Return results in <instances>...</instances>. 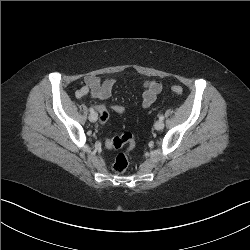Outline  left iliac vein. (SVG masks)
<instances>
[{
  "label": "left iliac vein",
  "mask_w": 250,
  "mask_h": 250,
  "mask_svg": "<svg viewBox=\"0 0 250 250\" xmlns=\"http://www.w3.org/2000/svg\"><path fill=\"white\" fill-rule=\"evenodd\" d=\"M154 126H155L156 130H162L164 128V122L163 121H157Z\"/></svg>",
  "instance_id": "4c4485c4"
}]
</instances>
